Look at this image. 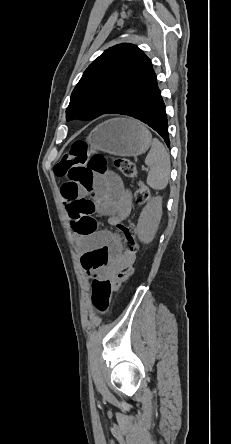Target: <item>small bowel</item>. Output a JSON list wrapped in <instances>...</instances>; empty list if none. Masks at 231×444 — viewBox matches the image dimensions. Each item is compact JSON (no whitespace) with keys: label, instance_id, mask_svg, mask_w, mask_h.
Segmentation results:
<instances>
[{"label":"small bowel","instance_id":"small-bowel-1","mask_svg":"<svg viewBox=\"0 0 231 444\" xmlns=\"http://www.w3.org/2000/svg\"><path fill=\"white\" fill-rule=\"evenodd\" d=\"M61 195L72 229L74 220L70 215V206L75 201L85 199L86 195L93 197L97 213L108 217L113 226L126 220L132 208L131 193L114 172L96 176L90 188H75L67 182L61 188ZM74 237L81 250L82 266L94 279L110 277L134 259L122 253L118 240L106 231L89 236H80L74 231Z\"/></svg>","mask_w":231,"mask_h":444}]
</instances>
